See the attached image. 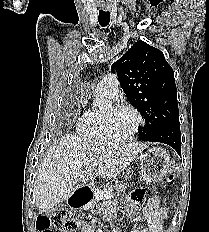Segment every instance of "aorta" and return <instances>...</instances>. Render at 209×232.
Instances as JSON below:
<instances>
[{
	"label": "aorta",
	"mask_w": 209,
	"mask_h": 232,
	"mask_svg": "<svg viewBox=\"0 0 209 232\" xmlns=\"http://www.w3.org/2000/svg\"><path fill=\"white\" fill-rule=\"evenodd\" d=\"M107 105H108L107 101H103V100L96 101L94 104V106L97 108H102V107H105Z\"/></svg>",
	"instance_id": "aorta-1"
}]
</instances>
